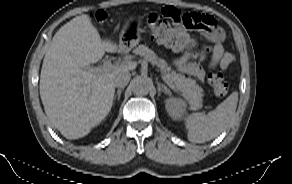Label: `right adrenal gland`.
Returning a JSON list of instances; mask_svg holds the SVG:
<instances>
[{
    "mask_svg": "<svg viewBox=\"0 0 292 184\" xmlns=\"http://www.w3.org/2000/svg\"><path fill=\"white\" fill-rule=\"evenodd\" d=\"M122 90L123 89H118L115 96H114V100L117 98L118 101L120 100V97H121V93H122Z\"/></svg>",
    "mask_w": 292,
    "mask_h": 184,
    "instance_id": "obj_1",
    "label": "right adrenal gland"
}]
</instances>
